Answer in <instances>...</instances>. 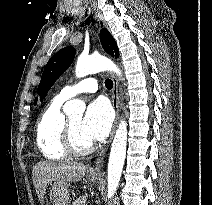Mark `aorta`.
<instances>
[{"instance_id": "1", "label": "aorta", "mask_w": 212, "mask_h": 205, "mask_svg": "<svg viewBox=\"0 0 212 205\" xmlns=\"http://www.w3.org/2000/svg\"><path fill=\"white\" fill-rule=\"evenodd\" d=\"M113 71L118 76L121 75L120 69L108 58L101 55L79 56L75 68L77 78L85 77L89 74L102 71ZM82 110L79 101H70L65 105V111L71 113ZM127 148V123L121 120L116 130L111 146L108 170H107V189L108 198H111L117 190L121 178Z\"/></svg>"}]
</instances>
